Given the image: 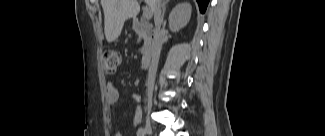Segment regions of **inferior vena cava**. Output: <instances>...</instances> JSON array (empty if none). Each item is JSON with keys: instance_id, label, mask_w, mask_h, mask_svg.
<instances>
[{"instance_id": "inferior-vena-cava-1", "label": "inferior vena cava", "mask_w": 325, "mask_h": 136, "mask_svg": "<svg viewBox=\"0 0 325 136\" xmlns=\"http://www.w3.org/2000/svg\"><path fill=\"white\" fill-rule=\"evenodd\" d=\"M161 7H162L161 0H153L152 10L154 12V22H155V27H156V33H155V43L153 46L152 62L149 67L148 78H147L148 97L152 96L154 83H155L158 58H159V52L161 49V42L159 40L160 27L162 24Z\"/></svg>"}]
</instances>
